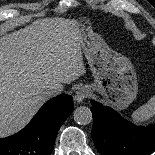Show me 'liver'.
<instances>
[{
    "label": "liver",
    "instance_id": "obj_1",
    "mask_svg": "<svg viewBox=\"0 0 155 155\" xmlns=\"http://www.w3.org/2000/svg\"><path fill=\"white\" fill-rule=\"evenodd\" d=\"M80 24L38 19L0 38V138L21 130L47 100L44 89L85 73Z\"/></svg>",
    "mask_w": 155,
    "mask_h": 155
}]
</instances>
